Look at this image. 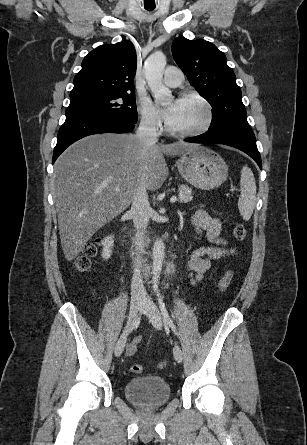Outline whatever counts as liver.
<instances>
[{"instance_id":"liver-1","label":"liver","mask_w":307,"mask_h":445,"mask_svg":"<svg viewBox=\"0 0 307 445\" xmlns=\"http://www.w3.org/2000/svg\"><path fill=\"white\" fill-rule=\"evenodd\" d=\"M194 146L199 144L182 140L143 146L131 132L90 134L71 144L55 162L52 182L66 261L76 259L96 231L126 210L141 180L148 190L162 186L168 176L163 152L183 154Z\"/></svg>"}]
</instances>
